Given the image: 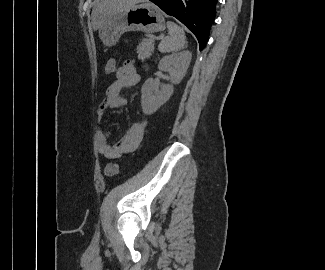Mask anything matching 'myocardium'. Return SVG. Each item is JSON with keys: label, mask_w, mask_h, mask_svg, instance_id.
Returning a JSON list of instances; mask_svg holds the SVG:
<instances>
[{"label": "myocardium", "mask_w": 325, "mask_h": 270, "mask_svg": "<svg viewBox=\"0 0 325 270\" xmlns=\"http://www.w3.org/2000/svg\"><path fill=\"white\" fill-rule=\"evenodd\" d=\"M132 1H144V0H132Z\"/></svg>", "instance_id": "obj_1"}]
</instances>
